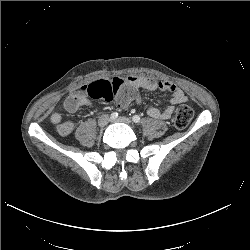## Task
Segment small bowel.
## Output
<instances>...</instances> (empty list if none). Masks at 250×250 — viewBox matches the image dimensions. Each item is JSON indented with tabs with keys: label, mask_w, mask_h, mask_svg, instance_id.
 Returning a JSON list of instances; mask_svg holds the SVG:
<instances>
[{
	"label": "small bowel",
	"mask_w": 250,
	"mask_h": 250,
	"mask_svg": "<svg viewBox=\"0 0 250 250\" xmlns=\"http://www.w3.org/2000/svg\"><path fill=\"white\" fill-rule=\"evenodd\" d=\"M114 82L118 89H129L133 91L132 102L140 103L139 89L155 90L160 89L168 91L172 94L171 104L164 110H160L157 107H150L147 113L154 119H169L176 105L185 103L187 96L177 85L171 82H163L157 79L140 76H130L127 78H114L111 80ZM87 85L81 86L78 90L71 93L68 98L63 102L62 108L67 112H75L82 106H92V102L88 99ZM117 103H120V97L116 98ZM120 106V104H119ZM52 124L56 126L57 132L61 136H68L74 129V124L70 121H62V117L59 113H53L50 117Z\"/></svg>",
	"instance_id": "c3829d8e"
}]
</instances>
